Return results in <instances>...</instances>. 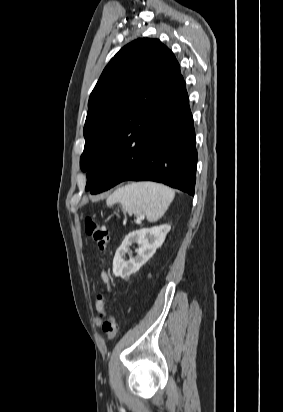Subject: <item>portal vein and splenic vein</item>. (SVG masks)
Returning a JSON list of instances; mask_svg holds the SVG:
<instances>
[{
  "instance_id": "18ae733b",
  "label": "portal vein and splenic vein",
  "mask_w": 283,
  "mask_h": 412,
  "mask_svg": "<svg viewBox=\"0 0 283 412\" xmlns=\"http://www.w3.org/2000/svg\"><path fill=\"white\" fill-rule=\"evenodd\" d=\"M143 217L141 216V217H138L137 219H136V222H140V220L142 219Z\"/></svg>"
}]
</instances>
